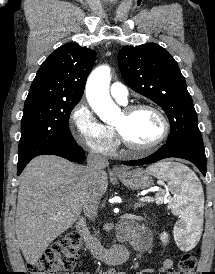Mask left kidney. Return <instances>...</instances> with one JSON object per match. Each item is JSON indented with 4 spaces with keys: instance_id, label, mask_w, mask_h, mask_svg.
Masks as SVG:
<instances>
[{
    "instance_id": "5707ae66",
    "label": "left kidney",
    "mask_w": 215,
    "mask_h": 274,
    "mask_svg": "<svg viewBox=\"0 0 215 274\" xmlns=\"http://www.w3.org/2000/svg\"><path fill=\"white\" fill-rule=\"evenodd\" d=\"M160 239L161 241L166 244L168 242V234L166 232H163L161 235H160Z\"/></svg>"
}]
</instances>
